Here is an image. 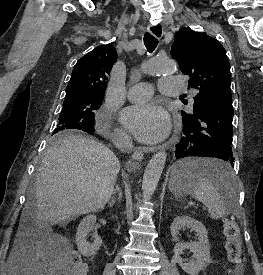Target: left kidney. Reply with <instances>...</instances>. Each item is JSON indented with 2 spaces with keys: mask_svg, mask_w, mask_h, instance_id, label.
I'll use <instances>...</instances> for the list:
<instances>
[{
  "mask_svg": "<svg viewBox=\"0 0 263 275\" xmlns=\"http://www.w3.org/2000/svg\"><path fill=\"white\" fill-rule=\"evenodd\" d=\"M184 227H187L188 229H191V231L196 232L198 236V242H179L178 233ZM170 230L172 237L177 242L174 246V256L172 261L174 263H178L183 271L187 274L198 275V273L211 262L210 246L205 226L201 222L189 216H178L171 224ZM184 249H189L191 252H193V257L196 260L184 263L181 258V254L183 253Z\"/></svg>",
  "mask_w": 263,
  "mask_h": 275,
  "instance_id": "1",
  "label": "left kidney"
}]
</instances>
